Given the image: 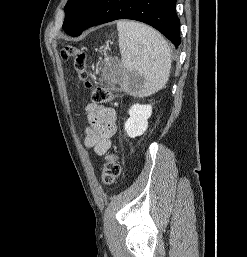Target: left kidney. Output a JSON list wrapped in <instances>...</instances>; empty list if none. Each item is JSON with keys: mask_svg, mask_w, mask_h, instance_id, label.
I'll return each mask as SVG.
<instances>
[{"mask_svg": "<svg viewBox=\"0 0 247 257\" xmlns=\"http://www.w3.org/2000/svg\"><path fill=\"white\" fill-rule=\"evenodd\" d=\"M130 117L125 122L124 128L131 138L142 135L148 126V119L152 114L151 105L134 104L128 111Z\"/></svg>", "mask_w": 247, "mask_h": 257, "instance_id": "1", "label": "left kidney"}]
</instances>
